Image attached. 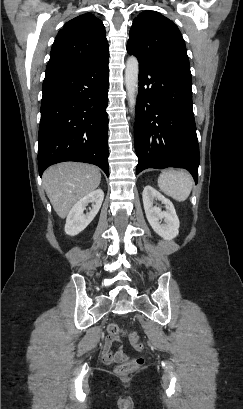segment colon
I'll use <instances>...</instances> for the list:
<instances>
[{
	"instance_id": "1",
	"label": "colon",
	"mask_w": 243,
	"mask_h": 409,
	"mask_svg": "<svg viewBox=\"0 0 243 409\" xmlns=\"http://www.w3.org/2000/svg\"><path fill=\"white\" fill-rule=\"evenodd\" d=\"M108 331L112 334H123L125 337H128L130 340V343L132 344L133 347L136 349L140 350L142 348L140 342H139V337L135 333H127L123 331L118 325L116 324H110L108 326ZM143 363V358L142 357H137L133 359H129L121 363L117 369L116 372L119 375H128L134 370H136L141 364Z\"/></svg>"
}]
</instances>
